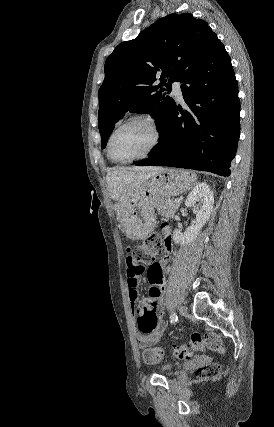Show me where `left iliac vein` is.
I'll use <instances>...</instances> for the list:
<instances>
[{"mask_svg":"<svg viewBox=\"0 0 274 427\" xmlns=\"http://www.w3.org/2000/svg\"><path fill=\"white\" fill-rule=\"evenodd\" d=\"M187 312H188L187 307H185V306H180V307H179V313H180L182 316H186V315H187Z\"/></svg>","mask_w":274,"mask_h":427,"instance_id":"1","label":"left iliac vein"}]
</instances>
